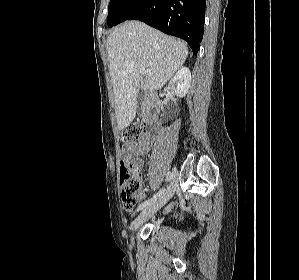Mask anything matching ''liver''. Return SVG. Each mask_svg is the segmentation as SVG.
<instances>
[{
	"instance_id": "liver-1",
	"label": "liver",
	"mask_w": 299,
	"mask_h": 280,
	"mask_svg": "<svg viewBox=\"0 0 299 280\" xmlns=\"http://www.w3.org/2000/svg\"><path fill=\"white\" fill-rule=\"evenodd\" d=\"M115 114L119 130L134 120L139 90L153 92L182 67L188 57L187 45L140 21H127L107 38ZM151 70L146 77L140 69Z\"/></svg>"
}]
</instances>
